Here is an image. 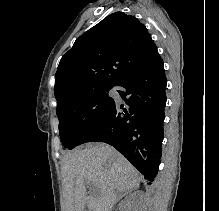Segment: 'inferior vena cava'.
I'll use <instances>...</instances> for the list:
<instances>
[{
    "mask_svg": "<svg viewBox=\"0 0 219 211\" xmlns=\"http://www.w3.org/2000/svg\"><path fill=\"white\" fill-rule=\"evenodd\" d=\"M112 191L115 193L117 190L114 188Z\"/></svg>",
    "mask_w": 219,
    "mask_h": 211,
    "instance_id": "inferior-vena-cava-1",
    "label": "inferior vena cava"
}]
</instances>
